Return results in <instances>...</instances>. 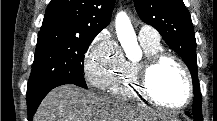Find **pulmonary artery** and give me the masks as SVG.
Here are the masks:
<instances>
[{"instance_id":"e3ab8cb5","label":"pulmonary artery","mask_w":217,"mask_h":121,"mask_svg":"<svg viewBox=\"0 0 217 121\" xmlns=\"http://www.w3.org/2000/svg\"><path fill=\"white\" fill-rule=\"evenodd\" d=\"M138 37L140 41L159 43L160 35L156 29L150 25H141L138 31Z\"/></svg>"}]
</instances>
